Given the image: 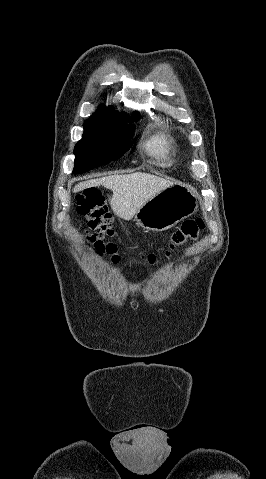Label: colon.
<instances>
[{"label":"colon","mask_w":266,"mask_h":479,"mask_svg":"<svg viewBox=\"0 0 266 479\" xmlns=\"http://www.w3.org/2000/svg\"><path fill=\"white\" fill-rule=\"evenodd\" d=\"M76 210L78 215L87 219L80 221L81 227L87 229L89 242L98 251L112 255V262L118 261L116 246L113 243H105L103 240L114 236L113 218L102 193L95 188L86 189L76 197ZM205 227L203 219L197 218L185 221L180 228L171 235L165 255L170 256L179 248L190 241L196 240ZM142 258L149 264L154 265L160 258L153 253L144 254Z\"/></svg>","instance_id":"obj_1"}]
</instances>
